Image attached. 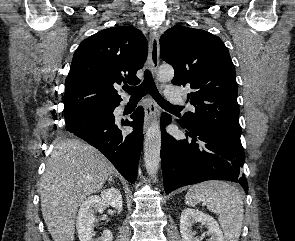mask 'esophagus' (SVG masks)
Returning <instances> with one entry per match:
<instances>
[{"label": "esophagus", "mask_w": 295, "mask_h": 241, "mask_svg": "<svg viewBox=\"0 0 295 241\" xmlns=\"http://www.w3.org/2000/svg\"><path fill=\"white\" fill-rule=\"evenodd\" d=\"M149 65L151 72L155 74L159 65V34L156 32L150 35ZM157 113L158 107L155 101L151 98L147 99L145 103L144 130L147 129Z\"/></svg>", "instance_id": "esophagus-1"}]
</instances>
